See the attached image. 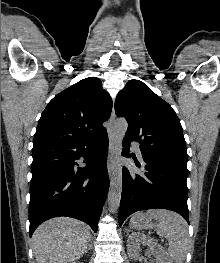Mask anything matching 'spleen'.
Instances as JSON below:
<instances>
[{
	"mask_svg": "<svg viewBox=\"0 0 220 263\" xmlns=\"http://www.w3.org/2000/svg\"><path fill=\"white\" fill-rule=\"evenodd\" d=\"M146 215L158 220L156 232L167 239L168 255L176 263H183L189 244L187 222L179 214L164 209L150 210Z\"/></svg>",
	"mask_w": 220,
	"mask_h": 263,
	"instance_id": "spleen-1",
	"label": "spleen"
}]
</instances>
